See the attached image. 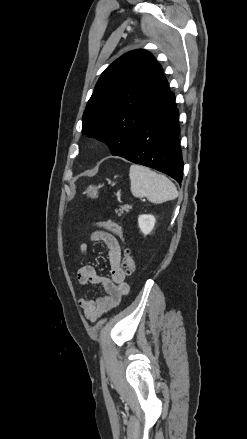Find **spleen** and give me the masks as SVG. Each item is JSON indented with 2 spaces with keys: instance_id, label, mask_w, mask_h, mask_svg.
<instances>
[{
  "instance_id": "1",
  "label": "spleen",
  "mask_w": 247,
  "mask_h": 439,
  "mask_svg": "<svg viewBox=\"0 0 247 439\" xmlns=\"http://www.w3.org/2000/svg\"><path fill=\"white\" fill-rule=\"evenodd\" d=\"M129 178L131 192L137 198L146 197L152 203L161 204L178 196L177 188L171 180L147 167L131 165Z\"/></svg>"
}]
</instances>
